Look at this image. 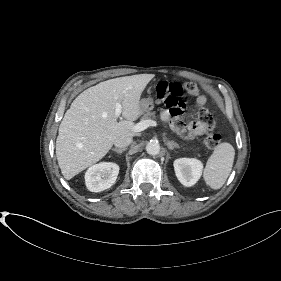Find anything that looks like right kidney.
<instances>
[{"instance_id":"1","label":"right kidney","mask_w":281,"mask_h":281,"mask_svg":"<svg viewBox=\"0 0 281 281\" xmlns=\"http://www.w3.org/2000/svg\"><path fill=\"white\" fill-rule=\"evenodd\" d=\"M119 166L112 162H101L88 168L85 183L88 190L101 192L110 188L116 181Z\"/></svg>"}]
</instances>
